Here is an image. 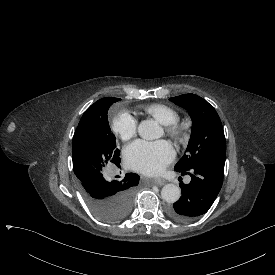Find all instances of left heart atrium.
Here are the masks:
<instances>
[{"label": "left heart atrium", "mask_w": 275, "mask_h": 275, "mask_svg": "<svg viewBox=\"0 0 275 275\" xmlns=\"http://www.w3.org/2000/svg\"><path fill=\"white\" fill-rule=\"evenodd\" d=\"M174 158L172 146L163 140L155 142L137 141L125 150L128 165L136 171L157 174Z\"/></svg>", "instance_id": "obj_1"}]
</instances>
